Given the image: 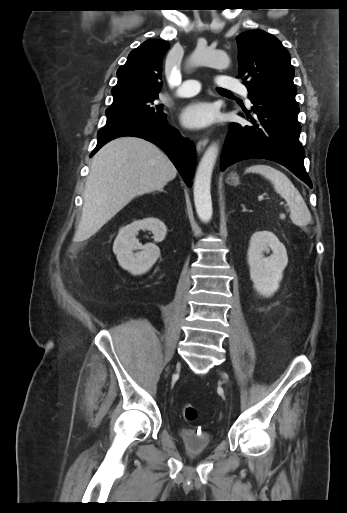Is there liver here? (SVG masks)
Returning <instances> with one entry per match:
<instances>
[{
  "label": "liver",
  "instance_id": "1",
  "mask_svg": "<svg viewBox=\"0 0 347 513\" xmlns=\"http://www.w3.org/2000/svg\"><path fill=\"white\" fill-rule=\"evenodd\" d=\"M176 174L153 143L132 136L111 140L92 159L75 239H89L133 198L162 190Z\"/></svg>",
  "mask_w": 347,
  "mask_h": 513
}]
</instances>
